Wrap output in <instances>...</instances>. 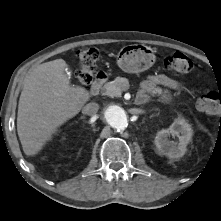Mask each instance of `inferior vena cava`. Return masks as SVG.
<instances>
[{
	"label": "inferior vena cava",
	"mask_w": 221,
	"mask_h": 221,
	"mask_svg": "<svg viewBox=\"0 0 221 221\" xmlns=\"http://www.w3.org/2000/svg\"><path fill=\"white\" fill-rule=\"evenodd\" d=\"M98 110H99V105L95 102H91L83 107L82 113L84 115L93 116L97 113Z\"/></svg>",
	"instance_id": "602c4592"
}]
</instances>
